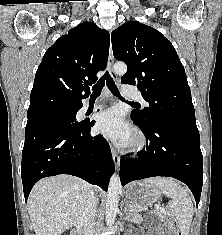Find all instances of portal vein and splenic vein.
<instances>
[{"mask_svg": "<svg viewBox=\"0 0 222 235\" xmlns=\"http://www.w3.org/2000/svg\"><path fill=\"white\" fill-rule=\"evenodd\" d=\"M159 209H161V207L158 206V205H156V206L154 207V210H159Z\"/></svg>", "mask_w": 222, "mask_h": 235, "instance_id": "18ae733b", "label": "portal vein and splenic vein"}]
</instances>
